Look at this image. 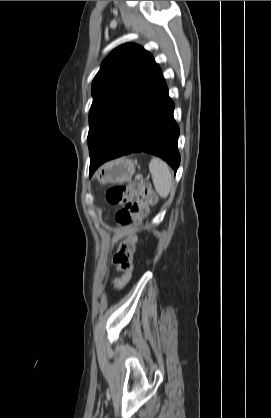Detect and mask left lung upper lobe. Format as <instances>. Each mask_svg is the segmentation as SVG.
Returning a JSON list of instances; mask_svg holds the SVG:
<instances>
[{
    "label": "left lung upper lobe",
    "mask_w": 271,
    "mask_h": 418,
    "mask_svg": "<svg viewBox=\"0 0 271 418\" xmlns=\"http://www.w3.org/2000/svg\"><path fill=\"white\" fill-rule=\"evenodd\" d=\"M161 74L152 55L138 45L124 44L108 55L92 83L90 159Z\"/></svg>",
    "instance_id": "5c2ea615"
}]
</instances>
